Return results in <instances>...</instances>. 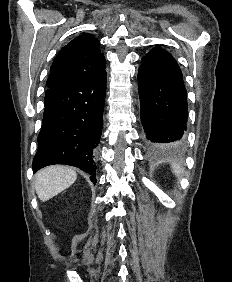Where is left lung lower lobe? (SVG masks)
Segmentation results:
<instances>
[{
  "label": "left lung lower lobe",
  "instance_id": "1",
  "mask_svg": "<svg viewBox=\"0 0 232 282\" xmlns=\"http://www.w3.org/2000/svg\"><path fill=\"white\" fill-rule=\"evenodd\" d=\"M138 71L141 122L150 149L178 148L188 117L182 72L170 53L154 47Z\"/></svg>",
  "mask_w": 232,
  "mask_h": 282
}]
</instances>
